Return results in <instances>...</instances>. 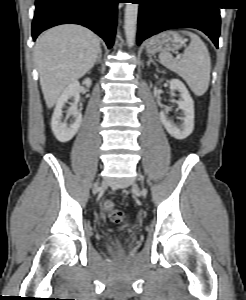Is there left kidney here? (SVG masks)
Returning a JSON list of instances; mask_svg holds the SVG:
<instances>
[{
	"label": "left kidney",
	"instance_id": "obj_1",
	"mask_svg": "<svg viewBox=\"0 0 246 300\" xmlns=\"http://www.w3.org/2000/svg\"><path fill=\"white\" fill-rule=\"evenodd\" d=\"M170 89L179 91L181 98L177 101L179 108L183 111V123L180 126L175 125L169 120L164 111L160 112V119L167 132L177 140L187 138L194 129V102L189 94L186 86L179 79H172L170 82ZM174 94L172 93V96ZM172 102H175L173 99Z\"/></svg>",
	"mask_w": 246,
	"mask_h": 300
}]
</instances>
